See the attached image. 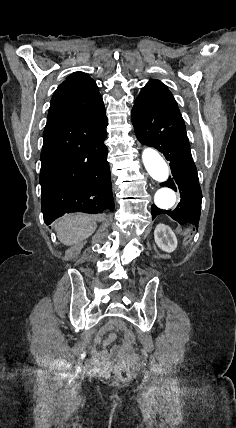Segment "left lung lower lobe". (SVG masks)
Listing matches in <instances>:
<instances>
[{
  "instance_id": "0a47b994",
  "label": "left lung lower lobe",
  "mask_w": 236,
  "mask_h": 428,
  "mask_svg": "<svg viewBox=\"0 0 236 428\" xmlns=\"http://www.w3.org/2000/svg\"><path fill=\"white\" fill-rule=\"evenodd\" d=\"M131 118L138 140L156 148L170 161L173 177L161 185L180 192L181 201L172 211L161 210L153 204L152 220L157 215L167 214L179 224L190 223L197 229L202 193L181 114L134 106Z\"/></svg>"
}]
</instances>
